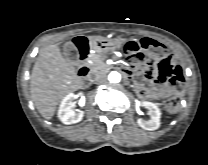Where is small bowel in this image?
I'll use <instances>...</instances> for the list:
<instances>
[{
  "label": "small bowel",
  "instance_id": "obj_1",
  "mask_svg": "<svg viewBox=\"0 0 208 165\" xmlns=\"http://www.w3.org/2000/svg\"><path fill=\"white\" fill-rule=\"evenodd\" d=\"M140 76L152 87L138 85L137 92L142 98L150 100L171 96L183 89L187 81L180 57L175 52L166 53L157 66H145Z\"/></svg>",
  "mask_w": 208,
  "mask_h": 165
}]
</instances>
